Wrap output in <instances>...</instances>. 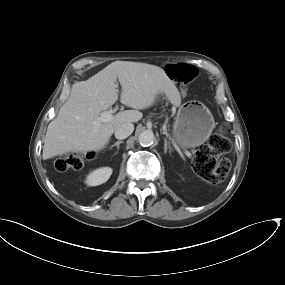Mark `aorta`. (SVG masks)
<instances>
[{
  "label": "aorta",
  "mask_w": 285,
  "mask_h": 285,
  "mask_svg": "<svg viewBox=\"0 0 285 285\" xmlns=\"http://www.w3.org/2000/svg\"><path fill=\"white\" fill-rule=\"evenodd\" d=\"M138 142L143 147L151 146L155 142V136L152 131L146 130L139 135Z\"/></svg>",
  "instance_id": "1"
}]
</instances>
